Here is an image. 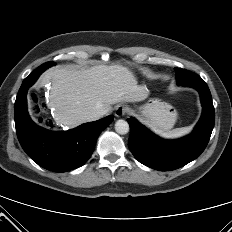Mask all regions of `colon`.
I'll use <instances>...</instances> for the list:
<instances>
[{
  "mask_svg": "<svg viewBox=\"0 0 232 232\" xmlns=\"http://www.w3.org/2000/svg\"><path fill=\"white\" fill-rule=\"evenodd\" d=\"M33 110L35 112L41 113L43 111V102L36 96L32 97Z\"/></svg>",
  "mask_w": 232,
  "mask_h": 232,
  "instance_id": "obj_1",
  "label": "colon"
}]
</instances>
